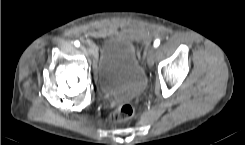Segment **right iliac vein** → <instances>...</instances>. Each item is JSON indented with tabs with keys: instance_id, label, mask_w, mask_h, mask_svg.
Masks as SVG:
<instances>
[{
	"instance_id": "63e3f726",
	"label": "right iliac vein",
	"mask_w": 245,
	"mask_h": 145,
	"mask_svg": "<svg viewBox=\"0 0 245 145\" xmlns=\"http://www.w3.org/2000/svg\"><path fill=\"white\" fill-rule=\"evenodd\" d=\"M80 50L83 51V52H87L86 48L84 46H80Z\"/></svg>"
}]
</instances>
